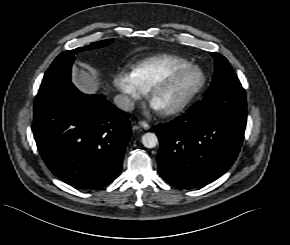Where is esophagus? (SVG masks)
<instances>
[{
	"label": "esophagus",
	"mask_w": 290,
	"mask_h": 245,
	"mask_svg": "<svg viewBox=\"0 0 290 245\" xmlns=\"http://www.w3.org/2000/svg\"><path fill=\"white\" fill-rule=\"evenodd\" d=\"M138 124H139L143 129H145V130L150 129V125H149L147 122L143 121V120L139 121Z\"/></svg>",
	"instance_id": "1"
}]
</instances>
